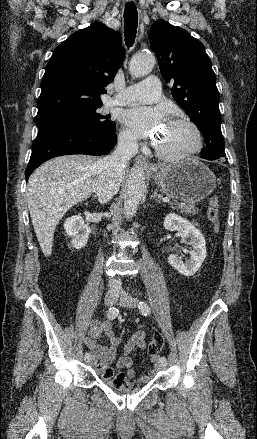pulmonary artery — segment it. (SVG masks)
Here are the masks:
<instances>
[{
  "mask_svg": "<svg viewBox=\"0 0 257 439\" xmlns=\"http://www.w3.org/2000/svg\"><path fill=\"white\" fill-rule=\"evenodd\" d=\"M160 94L159 79L155 76H150L138 84L116 91L110 99V103L112 105L151 103L157 101Z\"/></svg>",
  "mask_w": 257,
  "mask_h": 439,
  "instance_id": "pulmonary-artery-1",
  "label": "pulmonary artery"
}]
</instances>
